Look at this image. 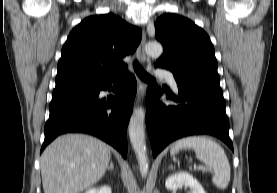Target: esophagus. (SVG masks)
I'll list each match as a JSON object with an SVG mask.
<instances>
[{"instance_id": "1", "label": "esophagus", "mask_w": 277, "mask_h": 193, "mask_svg": "<svg viewBox=\"0 0 277 193\" xmlns=\"http://www.w3.org/2000/svg\"><path fill=\"white\" fill-rule=\"evenodd\" d=\"M145 43H146V35L143 32L142 39L138 48V56L142 63H145L148 60L145 53ZM144 97H145V86L144 84H141L137 93L135 104L136 105L140 104L144 100Z\"/></svg>"}]
</instances>
